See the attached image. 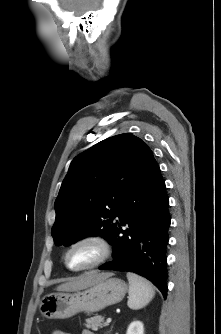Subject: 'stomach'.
<instances>
[{
	"instance_id": "1",
	"label": "stomach",
	"mask_w": 221,
	"mask_h": 334,
	"mask_svg": "<svg viewBox=\"0 0 221 334\" xmlns=\"http://www.w3.org/2000/svg\"><path fill=\"white\" fill-rule=\"evenodd\" d=\"M127 290L123 280L109 275L83 291L48 294L41 299L39 310L49 319H66L80 312L94 313L122 301Z\"/></svg>"
}]
</instances>
